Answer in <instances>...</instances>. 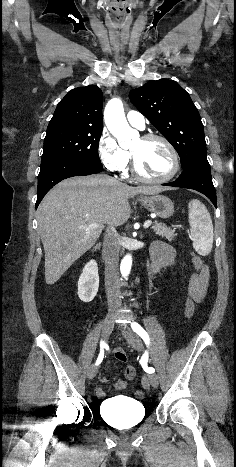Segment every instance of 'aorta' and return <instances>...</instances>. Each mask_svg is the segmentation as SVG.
<instances>
[{
    "instance_id": "aorta-1",
    "label": "aorta",
    "mask_w": 236,
    "mask_h": 467,
    "mask_svg": "<svg viewBox=\"0 0 236 467\" xmlns=\"http://www.w3.org/2000/svg\"><path fill=\"white\" fill-rule=\"evenodd\" d=\"M104 120L107 128L112 135L117 138L120 146L124 147L127 144V140L134 135L126 120L124 114L123 103L119 98L111 99L104 110ZM132 266V256L130 254L125 255L121 261V274L124 278H127Z\"/></svg>"
}]
</instances>
